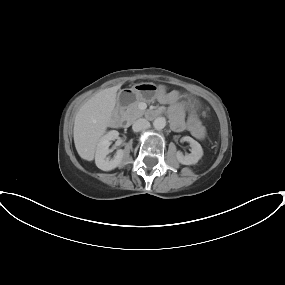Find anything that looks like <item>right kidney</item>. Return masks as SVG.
<instances>
[{"instance_id": "ca27d5eb", "label": "right kidney", "mask_w": 285, "mask_h": 285, "mask_svg": "<svg viewBox=\"0 0 285 285\" xmlns=\"http://www.w3.org/2000/svg\"><path fill=\"white\" fill-rule=\"evenodd\" d=\"M119 132L116 130L109 131L105 134L97 144L95 153L96 166L103 171H110L122 164L124 157V150H117L113 159H109L106 156L109 154L110 141L117 139Z\"/></svg>"}]
</instances>
